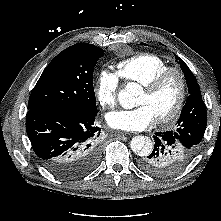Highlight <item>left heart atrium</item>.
Here are the masks:
<instances>
[{
  "label": "left heart atrium",
  "mask_w": 221,
  "mask_h": 221,
  "mask_svg": "<svg viewBox=\"0 0 221 221\" xmlns=\"http://www.w3.org/2000/svg\"><path fill=\"white\" fill-rule=\"evenodd\" d=\"M155 115L146 105H141L133 109H121L108 113L106 121L114 129L124 131H140L150 126Z\"/></svg>",
  "instance_id": "left-heart-atrium-1"
}]
</instances>
